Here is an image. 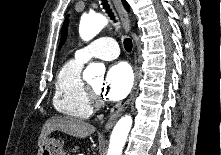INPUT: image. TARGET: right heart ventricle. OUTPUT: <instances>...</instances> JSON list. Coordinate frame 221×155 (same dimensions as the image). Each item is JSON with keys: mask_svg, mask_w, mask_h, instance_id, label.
Returning a JSON list of instances; mask_svg holds the SVG:
<instances>
[{"mask_svg": "<svg viewBox=\"0 0 221 155\" xmlns=\"http://www.w3.org/2000/svg\"><path fill=\"white\" fill-rule=\"evenodd\" d=\"M84 62L74 58L59 70L54 86L53 105L67 116L86 119L93 113L81 72Z\"/></svg>", "mask_w": 221, "mask_h": 155, "instance_id": "obj_1", "label": "right heart ventricle"}]
</instances>
